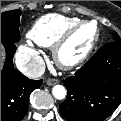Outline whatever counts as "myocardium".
<instances>
[{"label": "myocardium", "instance_id": "f54148a6", "mask_svg": "<svg viewBox=\"0 0 121 121\" xmlns=\"http://www.w3.org/2000/svg\"><path fill=\"white\" fill-rule=\"evenodd\" d=\"M92 25V21L89 20H80L74 25L70 26L68 29H66L54 42L52 45V56L56 63V65L63 69V70H72L83 63L87 61V59L90 57V55L93 53L94 49L96 48L100 37H101V31L98 25H95L96 28V36L93 40V42L90 44L88 49L79 57L72 59V60H63L61 57V50L66 45V43L71 39V37L74 35V33L81 28L84 25Z\"/></svg>", "mask_w": 121, "mask_h": 121}]
</instances>
